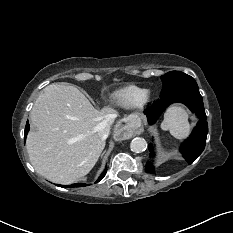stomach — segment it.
<instances>
[{
    "mask_svg": "<svg viewBox=\"0 0 233 233\" xmlns=\"http://www.w3.org/2000/svg\"><path fill=\"white\" fill-rule=\"evenodd\" d=\"M135 119H136V120H138V119H139V117H138V116H135Z\"/></svg>",
    "mask_w": 233,
    "mask_h": 233,
    "instance_id": "0dacf381",
    "label": "stomach"
}]
</instances>
